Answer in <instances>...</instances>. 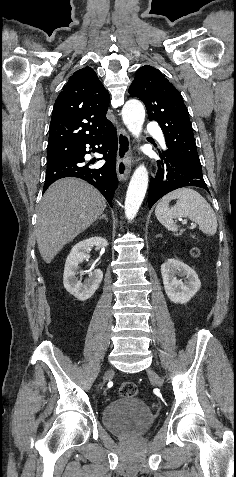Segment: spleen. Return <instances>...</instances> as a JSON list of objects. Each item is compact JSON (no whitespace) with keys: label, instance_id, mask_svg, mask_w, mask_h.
I'll list each match as a JSON object with an SVG mask.
<instances>
[{"label":"spleen","instance_id":"3e777b00","mask_svg":"<svg viewBox=\"0 0 236 477\" xmlns=\"http://www.w3.org/2000/svg\"><path fill=\"white\" fill-rule=\"evenodd\" d=\"M171 200H177L169 207ZM157 220L169 231H176L175 218H189L198 224L206 235H214L217 231L216 215L210 204L198 192L191 188H180L165 195L155 209Z\"/></svg>","mask_w":236,"mask_h":477}]
</instances>
